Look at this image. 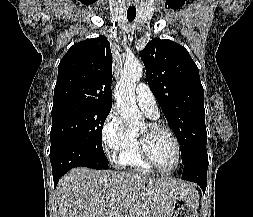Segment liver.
<instances>
[{
	"mask_svg": "<svg viewBox=\"0 0 253 217\" xmlns=\"http://www.w3.org/2000/svg\"><path fill=\"white\" fill-rule=\"evenodd\" d=\"M59 217H168L174 202L195 199L194 185L132 172L70 170L56 189Z\"/></svg>",
	"mask_w": 253,
	"mask_h": 217,
	"instance_id": "liver-1",
	"label": "liver"
}]
</instances>
